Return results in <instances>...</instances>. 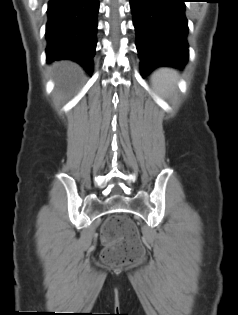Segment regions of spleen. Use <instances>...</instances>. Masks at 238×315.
I'll return each mask as SVG.
<instances>
[{"label":"spleen","instance_id":"3e777b00","mask_svg":"<svg viewBox=\"0 0 238 315\" xmlns=\"http://www.w3.org/2000/svg\"><path fill=\"white\" fill-rule=\"evenodd\" d=\"M178 79L179 73L176 70L159 68L151 76L152 88L158 96L166 98L176 91Z\"/></svg>","mask_w":238,"mask_h":315}]
</instances>
